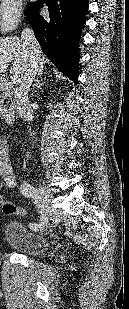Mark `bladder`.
<instances>
[{
  "label": "bladder",
  "mask_w": 129,
  "mask_h": 309,
  "mask_svg": "<svg viewBox=\"0 0 129 309\" xmlns=\"http://www.w3.org/2000/svg\"><path fill=\"white\" fill-rule=\"evenodd\" d=\"M5 243L25 255H39L49 247L48 239L28 229L21 221L9 220L3 229Z\"/></svg>",
  "instance_id": "obj_1"
}]
</instances>
